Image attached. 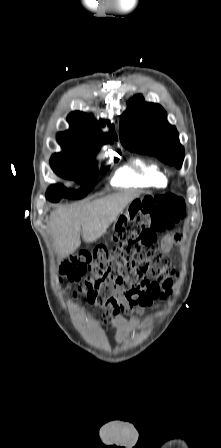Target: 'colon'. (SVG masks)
I'll use <instances>...</instances> for the list:
<instances>
[{
  "mask_svg": "<svg viewBox=\"0 0 221 448\" xmlns=\"http://www.w3.org/2000/svg\"><path fill=\"white\" fill-rule=\"evenodd\" d=\"M185 216V202L176 195L146 196L131 207L129 218L119 219L118 246H98L71 254L62 266L63 277L80 280L78 290L93 303L99 292L119 288L131 305L147 308L170 291L178 274L159 250L157 232L174 226Z\"/></svg>",
  "mask_w": 221,
  "mask_h": 448,
  "instance_id": "5ec220e1",
  "label": "colon"
}]
</instances>
